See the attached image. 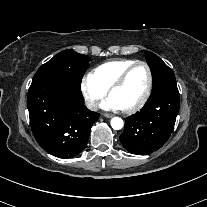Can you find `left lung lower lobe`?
Returning <instances> with one entry per match:
<instances>
[{"label": "left lung lower lobe", "instance_id": "left-lung-lower-lobe-1", "mask_svg": "<svg viewBox=\"0 0 207 207\" xmlns=\"http://www.w3.org/2000/svg\"><path fill=\"white\" fill-rule=\"evenodd\" d=\"M179 102L177 86L151 94L140 112L125 119L120 136L124 148L133 154L147 155L162 147L174 128Z\"/></svg>", "mask_w": 207, "mask_h": 207}]
</instances>
